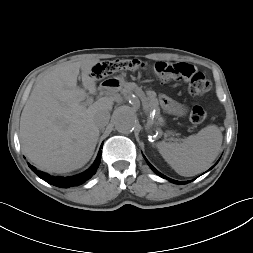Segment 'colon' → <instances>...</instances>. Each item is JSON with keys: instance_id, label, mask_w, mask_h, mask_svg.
Returning a JSON list of instances; mask_svg holds the SVG:
<instances>
[{"instance_id": "obj_1", "label": "colon", "mask_w": 253, "mask_h": 253, "mask_svg": "<svg viewBox=\"0 0 253 253\" xmlns=\"http://www.w3.org/2000/svg\"><path fill=\"white\" fill-rule=\"evenodd\" d=\"M152 72L162 80H181L188 86V91L192 95H202L209 91L210 81L206 76L188 63H172L166 61L156 62L149 66L139 59H117L103 61L93 68V76L101 79L120 71H147ZM207 117L206 110L196 105L191 109L190 120L198 125L204 122Z\"/></svg>"}]
</instances>
